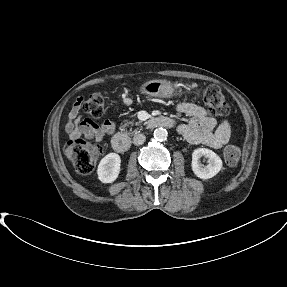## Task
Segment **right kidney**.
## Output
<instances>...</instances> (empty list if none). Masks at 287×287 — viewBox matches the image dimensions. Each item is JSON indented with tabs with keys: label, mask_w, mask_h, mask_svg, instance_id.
<instances>
[{
	"label": "right kidney",
	"mask_w": 287,
	"mask_h": 287,
	"mask_svg": "<svg viewBox=\"0 0 287 287\" xmlns=\"http://www.w3.org/2000/svg\"><path fill=\"white\" fill-rule=\"evenodd\" d=\"M121 158L116 153L107 154L99 163L97 174L102 183L114 182L120 173Z\"/></svg>",
	"instance_id": "obj_1"
}]
</instances>
